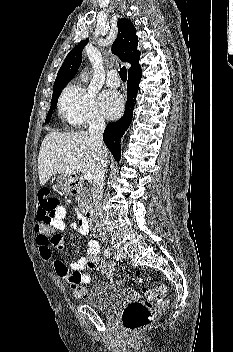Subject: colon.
I'll return each instance as SVG.
<instances>
[{
	"instance_id": "colon-1",
	"label": "colon",
	"mask_w": 233,
	"mask_h": 352,
	"mask_svg": "<svg viewBox=\"0 0 233 352\" xmlns=\"http://www.w3.org/2000/svg\"><path fill=\"white\" fill-rule=\"evenodd\" d=\"M35 231L38 234L37 237L43 241L59 242L62 239L48 220L38 221ZM84 259L86 268L90 270H99L105 276H112L115 273V265L102 259L98 254H85ZM70 282L74 297L84 299L87 296V289L81 275H72ZM165 292L166 287L162 284L153 288H143L146 298L128 303L122 311L121 318L124 327L128 331L135 332L148 326L160 310L168 307V301L163 299Z\"/></svg>"
}]
</instances>
